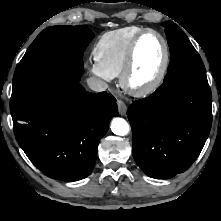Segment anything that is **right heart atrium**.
Instances as JSON below:
<instances>
[{
  "mask_svg": "<svg viewBox=\"0 0 221 221\" xmlns=\"http://www.w3.org/2000/svg\"><path fill=\"white\" fill-rule=\"evenodd\" d=\"M90 72L97 77L105 80L110 81L112 76H110L100 65L97 61H93L89 64Z\"/></svg>",
  "mask_w": 221,
  "mask_h": 221,
  "instance_id": "obj_1",
  "label": "right heart atrium"
}]
</instances>
